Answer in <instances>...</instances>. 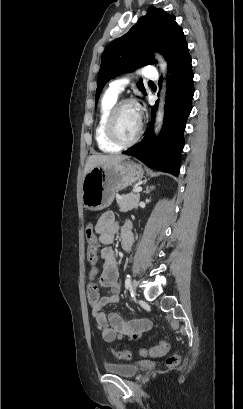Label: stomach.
Here are the masks:
<instances>
[{
	"instance_id": "0dacf381",
	"label": "stomach",
	"mask_w": 243,
	"mask_h": 409,
	"mask_svg": "<svg viewBox=\"0 0 243 409\" xmlns=\"http://www.w3.org/2000/svg\"><path fill=\"white\" fill-rule=\"evenodd\" d=\"M143 175V168L133 161L94 167L83 178L82 202L91 211L107 208L117 192L139 181Z\"/></svg>"
}]
</instances>
